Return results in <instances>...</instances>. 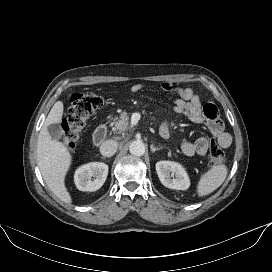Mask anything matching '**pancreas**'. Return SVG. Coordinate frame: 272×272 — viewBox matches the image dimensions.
Masks as SVG:
<instances>
[{"instance_id": "1", "label": "pancreas", "mask_w": 272, "mask_h": 272, "mask_svg": "<svg viewBox=\"0 0 272 272\" xmlns=\"http://www.w3.org/2000/svg\"><path fill=\"white\" fill-rule=\"evenodd\" d=\"M129 126V113L122 112L117 121L114 122L113 131L124 132Z\"/></svg>"}]
</instances>
